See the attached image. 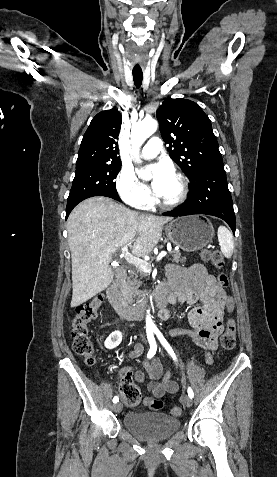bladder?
Wrapping results in <instances>:
<instances>
[{
  "instance_id": "1",
  "label": "bladder",
  "mask_w": 277,
  "mask_h": 477,
  "mask_svg": "<svg viewBox=\"0 0 277 477\" xmlns=\"http://www.w3.org/2000/svg\"><path fill=\"white\" fill-rule=\"evenodd\" d=\"M124 426L140 439L146 441L165 440L176 433L179 419L162 412H129L124 416Z\"/></svg>"
}]
</instances>
